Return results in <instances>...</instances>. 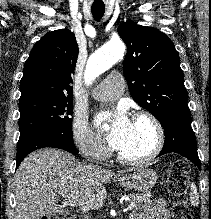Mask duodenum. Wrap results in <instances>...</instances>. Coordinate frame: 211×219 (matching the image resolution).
Listing matches in <instances>:
<instances>
[{
    "mask_svg": "<svg viewBox=\"0 0 211 219\" xmlns=\"http://www.w3.org/2000/svg\"><path fill=\"white\" fill-rule=\"evenodd\" d=\"M69 219H78V218H76V217H71V218H69Z\"/></svg>",
    "mask_w": 211,
    "mask_h": 219,
    "instance_id": "410a0bca",
    "label": "duodenum"
}]
</instances>
